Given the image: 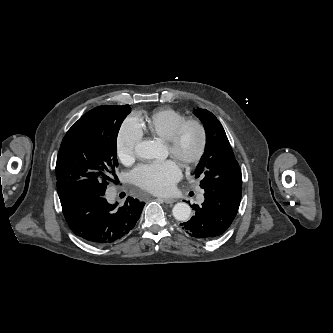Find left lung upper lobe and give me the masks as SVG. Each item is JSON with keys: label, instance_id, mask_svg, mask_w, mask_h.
Returning <instances> with one entry per match:
<instances>
[{"label": "left lung upper lobe", "instance_id": "1", "mask_svg": "<svg viewBox=\"0 0 333 333\" xmlns=\"http://www.w3.org/2000/svg\"><path fill=\"white\" fill-rule=\"evenodd\" d=\"M206 131L205 152L195 171L202 177L201 188L214 190H238L242 188V175L224 128L218 119L206 109L193 112Z\"/></svg>", "mask_w": 333, "mask_h": 333}]
</instances>
